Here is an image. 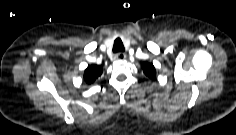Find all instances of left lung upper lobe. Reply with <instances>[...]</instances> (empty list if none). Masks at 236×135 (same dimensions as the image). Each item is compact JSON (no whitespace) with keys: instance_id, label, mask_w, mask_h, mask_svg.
Returning <instances> with one entry per match:
<instances>
[{"instance_id":"1","label":"left lung upper lobe","mask_w":236,"mask_h":135,"mask_svg":"<svg viewBox=\"0 0 236 135\" xmlns=\"http://www.w3.org/2000/svg\"><path fill=\"white\" fill-rule=\"evenodd\" d=\"M144 73L151 79H154L155 76H156V70H155V67L153 66V64L151 63H142L141 65Z\"/></svg>"}]
</instances>
